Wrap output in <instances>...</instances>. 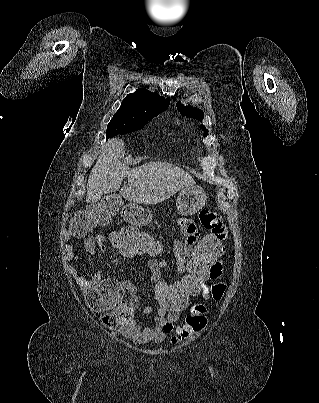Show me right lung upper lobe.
Masks as SVG:
<instances>
[{
    "label": "right lung upper lobe",
    "instance_id": "obj_1",
    "mask_svg": "<svg viewBox=\"0 0 319 403\" xmlns=\"http://www.w3.org/2000/svg\"><path fill=\"white\" fill-rule=\"evenodd\" d=\"M169 102V98L164 99L157 93L139 88L123 99L116 114L138 120L148 119L165 111Z\"/></svg>",
    "mask_w": 319,
    "mask_h": 403
}]
</instances>
